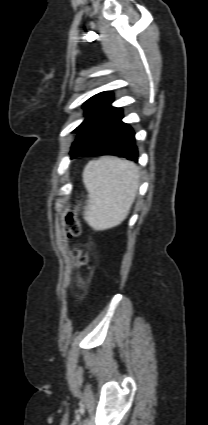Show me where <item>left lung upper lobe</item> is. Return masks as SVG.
Listing matches in <instances>:
<instances>
[{
    "label": "left lung upper lobe",
    "mask_w": 208,
    "mask_h": 425,
    "mask_svg": "<svg viewBox=\"0 0 208 425\" xmlns=\"http://www.w3.org/2000/svg\"><path fill=\"white\" fill-rule=\"evenodd\" d=\"M112 101H113V97H112V92L110 91L101 92L97 95H94L90 99H88L83 105V108L86 110V113H85L86 118L73 132H80L81 130H83ZM81 150H82L81 143L76 139L71 147L70 155L72 157L79 156Z\"/></svg>",
    "instance_id": "left-lung-upper-lobe-1"
}]
</instances>
